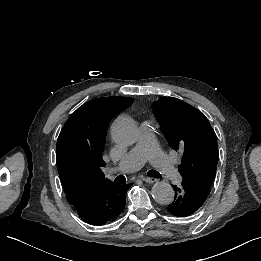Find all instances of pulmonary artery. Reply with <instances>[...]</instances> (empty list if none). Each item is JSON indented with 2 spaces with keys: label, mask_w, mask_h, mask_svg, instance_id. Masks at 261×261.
Wrapping results in <instances>:
<instances>
[{
  "label": "pulmonary artery",
  "mask_w": 261,
  "mask_h": 261,
  "mask_svg": "<svg viewBox=\"0 0 261 261\" xmlns=\"http://www.w3.org/2000/svg\"><path fill=\"white\" fill-rule=\"evenodd\" d=\"M155 127L150 120H142L139 124L137 143L125 154L119 164L106 171L107 176L121 172L138 170L146 161L156 163L162 174L167 175L166 181L171 186H176L181 181L178 172L173 171L174 165L167 154L162 153L158 147L155 136Z\"/></svg>",
  "instance_id": "1"
}]
</instances>
